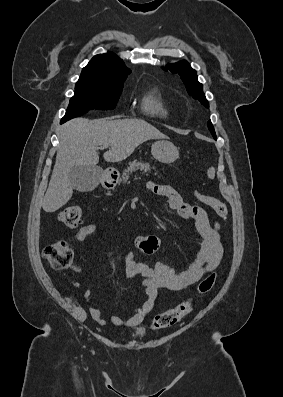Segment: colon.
Here are the masks:
<instances>
[{"label": "colon", "instance_id": "obj_1", "mask_svg": "<svg viewBox=\"0 0 283 397\" xmlns=\"http://www.w3.org/2000/svg\"><path fill=\"white\" fill-rule=\"evenodd\" d=\"M195 195L200 202L211 207L219 217L222 219L227 218V207L221 200L201 192H196ZM81 217L82 209L78 205L68 206L59 214V220L67 227H76L80 223ZM43 257L54 269L63 270L70 266L73 259V251L70 244L63 240L47 245L43 249ZM217 279L218 275L215 272L202 279L196 289L197 295L209 293L215 286ZM192 306L193 299L190 298L158 314L153 319L152 328L163 329L173 326L192 310Z\"/></svg>", "mask_w": 283, "mask_h": 397}]
</instances>
